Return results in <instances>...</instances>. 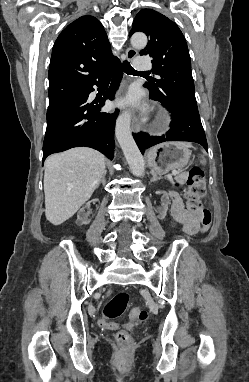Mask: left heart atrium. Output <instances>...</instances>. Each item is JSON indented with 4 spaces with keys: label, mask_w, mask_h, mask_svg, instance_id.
I'll list each match as a JSON object with an SVG mask.
<instances>
[{
    "label": "left heart atrium",
    "mask_w": 249,
    "mask_h": 382,
    "mask_svg": "<svg viewBox=\"0 0 249 382\" xmlns=\"http://www.w3.org/2000/svg\"><path fill=\"white\" fill-rule=\"evenodd\" d=\"M127 100L130 102H135L137 100V95L135 93H132L131 95H129Z\"/></svg>",
    "instance_id": "left-heart-atrium-1"
}]
</instances>
